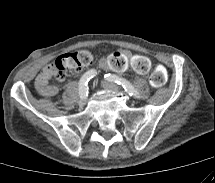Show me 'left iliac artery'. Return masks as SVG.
<instances>
[{"label":"left iliac artery","instance_id":"left-iliac-artery-1","mask_svg":"<svg viewBox=\"0 0 215 183\" xmlns=\"http://www.w3.org/2000/svg\"><path fill=\"white\" fill-rule=\"evenodd\" d=\"M104 79L106 81L114 82V83L121 85L130 96H134L136 98H141V96L137 92V90L127 80L120 78V77L113 75V74L104 75Z\"/></svg>","mask_w":215,"mask_h":183}]
</instances>
